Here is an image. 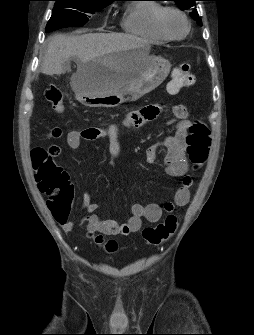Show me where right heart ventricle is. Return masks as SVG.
<instances>
[{
	"label": "right heart ventricle",
	"instance_id": "obj_1",
	"mask_svg": "<svg viewBox=\"0 0 254 335\" xmlns=\"http://www.w3.org/2000/svg\"><path fill=\"white\" fill-rule=\"evenodd\" d=\"M162 6L159 3L145 1L127 6L122 20V29L131 35L152 43H164V39L155 29L154 19Z\"/></svg>",
	"mask_w": 254,
	"mask_h": 335
}]
</instances>
